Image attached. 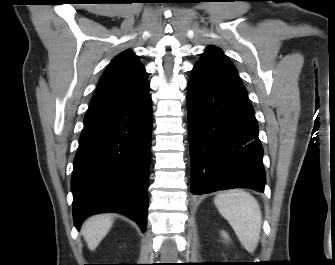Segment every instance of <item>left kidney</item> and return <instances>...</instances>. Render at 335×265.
<instances>
[{"instance_id": "left-kidney-1", "label": "left kidney", "mask_w": 335, "mask_h": 265, "mask_svg": "<svg viewBox=\"0 0 335 265\" xmlns=\"http://www.w3.org/2000/svg\"><path fill=\"white\" fill-rule=\"evenodd\" d=\"M223 235H224V237H226V238H227V234H226V233H223Z\"/></svg>"}]
</instances>
